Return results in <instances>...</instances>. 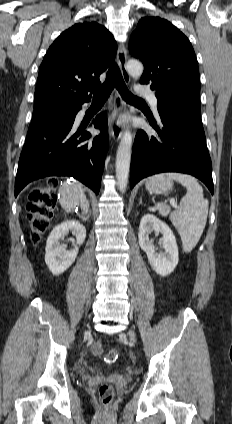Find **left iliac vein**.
Here are the masks:
<instances>
[{
  "label": "left iliac vein",
  "instance_id": "1",
  "mask_svg": "<svg viewBox=\"0 0 232 424\" xmlns=\"http://www.w3.org/2000/svg\"><path fill=\"white\" fill-rule=\"evenodd\" d=\"M129 335H130V339H131V341H132L133 343H135V342H136V336H135V333H134L133 331H130Z\"/></svg>",
  "mask_w": 232,
  "mask_h": 424
}]
</instances>
